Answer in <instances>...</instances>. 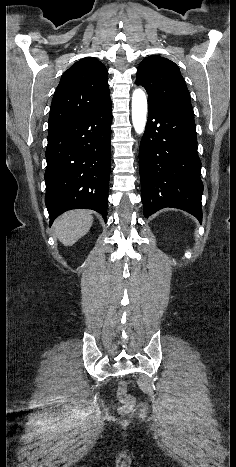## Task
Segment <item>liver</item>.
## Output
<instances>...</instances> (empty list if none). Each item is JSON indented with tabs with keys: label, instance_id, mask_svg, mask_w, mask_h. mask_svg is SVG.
<instances>
[{
	"label": "liver",
	"instance_id": "liver-1",
	"mask_svg": "<svg viewBox=\"0 0 236 467\" xmlns=\"http://www.w3.org/2000/svg\"><path fill=\"white\" fill-rule=\"evenodd\" d=\"M93 224V216L89 210L68 211L54 221L56 237L64 246H72L85 236Z\"/></svg>",
	"mask_w": 236,
	"mask_h": 467
}]
</instances>
